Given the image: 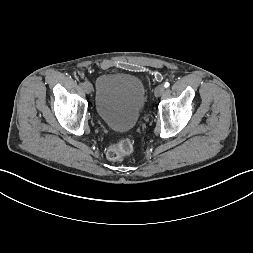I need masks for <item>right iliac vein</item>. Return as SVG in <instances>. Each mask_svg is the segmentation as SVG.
I'll return each instance as SVG.
<instances>
[{"label":"right iliac vein","mask_w":253,"mask_h":253,"mask_svg":"<svg viewBox=\"0 0 253 253\" xmlns=\"http://www.w3.org/2000/svg\"><path fill=\"white\" fill-rule=\"evenodd\" d=\"M83 88L87 94L92 92V84L90 82H86Z\"/></svg>","instance_id":"1"}]
</instances>
